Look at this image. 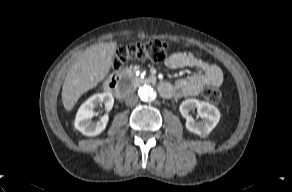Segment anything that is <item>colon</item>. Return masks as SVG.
<instances>
[{
  "instance_id": "1",
  "label": "colon",
  "mask_w": 292,
  "mask_h": 192,
  "mask_svg": "<svg viewBox=\"0 0 292 192\" xmlns=\"http://www.w3.org/2000/svg\"><path fill=\"white\" fill-rule=\"evenodd\" d=\"M167 50V43L159 40L129 44L117 51L113 68L119 70L130 60H148L154 63H160L166 59ZM202 95L208 101L217 104L221 101L223 92L218 85H212L204 88Z\"/></svg>"
}]
</instances>
